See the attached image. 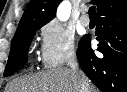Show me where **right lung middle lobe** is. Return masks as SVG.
I'll return each mask as SVG.
<instances>
[{
  "label": "right lung middle lobe",
  "mask_w": 127,
  "mask_h": 92,
  "mask_svg": "<svg viewBox=\"0 0 127 92\" xmlns=\"http://www.w3.org/2000/svg\"><path fill=\"white\" fill-rule=\"evenodd\" d=\"M42 26L43 25H38L27 28L13 38L8 62L4 71V76H8L9 74L16 71L19 67L26 64L27 52L31 40L35 32Z\"/></svg>",
  "instance_id": "1"
}]
</instances>
